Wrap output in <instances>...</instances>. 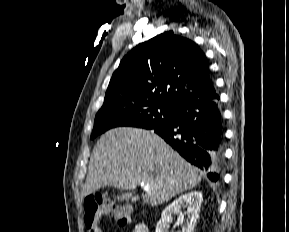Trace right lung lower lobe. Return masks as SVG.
I'll return each mask as SVG.
<instances>
[{
  "label": "right lung lower lobe",
  "mask_w": 289,
  "mask_h": 232,
  "mask_svg": "<svg viewBox=\"0 0 289 232\" xmlns=\"http://www.w3.org/2000/svg\"><path fill=\"white\" fill-rule=\"evenodd\" d=\"M219 96L186 102L176 108L174 119L151 128L188 162L205 170L216 182L224 160V131Z\"/></svg>",
  "instance_id": "1"
}]
</instances>
